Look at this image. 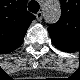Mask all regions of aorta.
<instances>
[{"label":"aorta","mask_w":80,"mask_h":80,"mask_svg":"<svg viewBox=\"0 0 80 80\" xmlns=\"http://www.w3.org/2000/svg\"><path fill=\"white\" fill-rule=\"evenodd\" d=\"M61 16V8L59 4L49 6L45 10L44 18L48 23H56Z\"/></svg>","instance_id":"aorta-1"}]
</instances>
